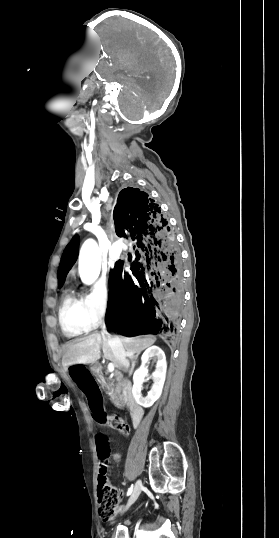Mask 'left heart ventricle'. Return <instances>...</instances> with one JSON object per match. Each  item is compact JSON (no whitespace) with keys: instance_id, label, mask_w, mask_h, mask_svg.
<instances>
[{"instance_id":"b2bd125f","label":"left heart ventricle","mask_w":279,"mask_h":538,"mask_svg":"<svg viewBox=\"0 0 279 538\" xmlns=\"http://www.w3.org/2000/svg\"><path fill=\"white\" fill-rule=\"evenodd\" d=\"M82 208H84V207H71L70 209H71V210H80V209H82ZM96 217H97V215L95 216V218H96ZM81 220H82V218H77V219L74 218V219H72V222H73V223H75V222H80Z\"/></svg>"}]
</instances>
